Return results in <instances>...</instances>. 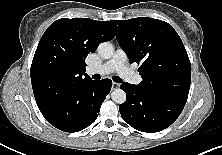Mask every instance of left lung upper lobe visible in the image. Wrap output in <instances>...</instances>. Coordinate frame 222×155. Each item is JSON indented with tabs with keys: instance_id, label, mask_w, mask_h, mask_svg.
<instances>
[{
	"instance_id": "5c2ea615",
	"label": "left lung upper lobe",
	"mask_w": 222,
	"mask_h": 155,
	"mask_svg": "<svg viewBox=\"0 0 222 155\" xmlns=\"http://www.w3.org/2000/svg\"><path fill=\"white\" fill-rule=\"evenodd\" d=\"M120 47L130 63L141 64L138 71L142 91L178 104H186L191 64L177 32L162 20L137 17L111 20Z\"/></svg>"
}]
</instances>
